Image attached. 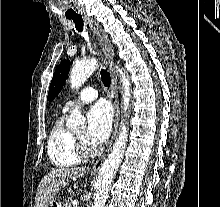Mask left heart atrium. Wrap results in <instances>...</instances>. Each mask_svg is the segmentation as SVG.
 Segmentation results:
<instances>
[{
    "label": "left heart atrium",
    "mask_w": 220,
    "mask_h": 207,
    "mask_svg": "<svg viewBox=\"0 0 220 207\" xmlns=\"http://www.w3.org/2000/svg\"><path fill=\"white\" fill-rule=\"evenodd\" d=\"M112 121L113 113L107 102L99 101L90 108L85 138L91 146L97 147L106 141L111 132Z\"/></svg>",
    "instance_id": "left-heart-atrium-1"
}]
</instances>
